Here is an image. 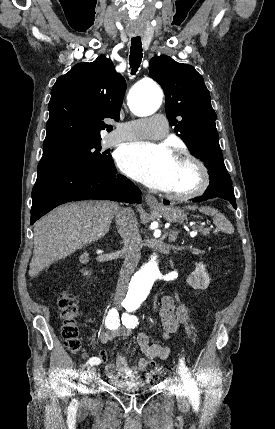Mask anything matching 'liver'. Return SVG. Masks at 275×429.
Returning <instances> with one entry per match:
<instances>
[{
    "label": "liver",
    "mask_w": 275,
    "mask_h": 429,
    "mask_svg": "<svg viewBox=\"0 0 275 429\" xmlns=\"http://www.w3.org/2000/svg\"><path fill=\"white\" fill-rule=\"evenodd\" d=\"M119 209L110 201L76 202L60 206L39 220L34 228L30 277L104 237Z\"/></svg>",
    "instance_id": "6515ba94"
}]
</instances>
